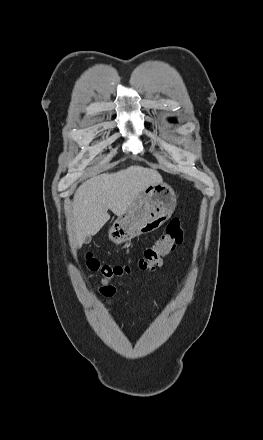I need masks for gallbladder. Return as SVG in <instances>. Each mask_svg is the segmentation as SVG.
I'll return each instance as SVG.
<instances>
[{
    "instance_id": "bac80fb5",
    "label": "gallbladder",
    "mask_w": 263,
    "mask_h": 440,
    "mask_svg": "<svg viewBox=\"0 0 263 440\" xmlns=\"http://www.w3.org/2000/svg\"><path fill=\"white\" fill-rule=\"evenodd\" d=\"M83 242H84L85 244H89V243L91 242V237H90V236H86V237H84Z\"/></svg>"
}]
</instances>
